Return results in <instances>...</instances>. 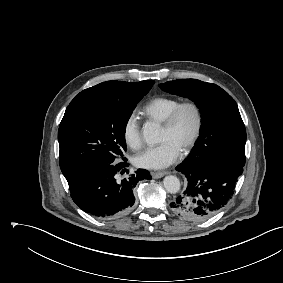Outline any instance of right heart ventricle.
<instances>
[{
	"instance_id": "e07e8e85",
	"label": "right heart ventricle",
	"mask_w": 283,
	"mask_h": 283,
	"mask_svg": "<svg viewBox=\"0 0 283 283\" xmlns=\"http://www.w3.org/2000/svg\"><path fill=\"white\" fill-rule=\"evenodd\" d=\"M179 103L176 98L158 96L142 107L141 114L151 121L162 124Z\"/></svg>"
}]
</instances>
